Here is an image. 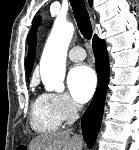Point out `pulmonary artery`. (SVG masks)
Instances as JSON below:
<instances>
[{
    "label": "pulmonary artery",
    "instance_id": "1",
    "mask_svg": "<svg viewBox=\"0 0 139 150\" xmlns=\"http://www.w3.org/2000/svg\"><path fill=\"white\" fill-rule=\"evenodd\" d=\"M68 57L71 61L79 62L85 59L86 52L81 46H75L70 49Z\"/></svg>",
    "mask_w": 139,
    "mask_h": 150
}]
</instances>
